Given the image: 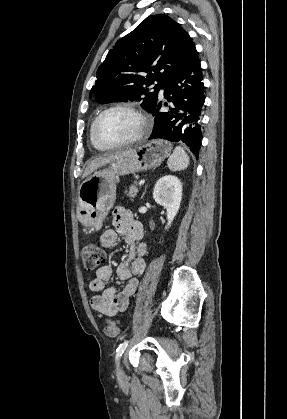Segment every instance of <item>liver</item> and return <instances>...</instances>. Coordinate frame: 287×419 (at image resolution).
<instances>
[{"mask_svg":"<svg viewBox=\"0 0 287 419\" xmlns=\"http://www.w3.org/2000/svg\"><path fill=\"white\" fill-rule=\"evenodd\" d=\"M132 150L133 149L117 151V152H114V153L104 154V155H101V156H98V157L94 158L93 160L88 162V164L85 168L83 177H86V176L90 175L92 172H94L98 168H100V167H102V166H104L108 163H111L115 160L120 159L121 157L130 153Z\"/></svg>","mask_w":287,"mask_h":419,"instance_id":"1","label":"liver"}]
</instances>
